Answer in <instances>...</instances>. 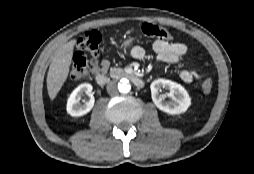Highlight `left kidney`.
Listing matches in <instances>:
<instances>
[{
  "mask_svg": "<svg viewBox=\"0 0 254 174\" xmlns=\"http://www.w3.org/2000/svg\"><path fill=\"white\" fill-rule=\"evenodd\" d=\"M151 96L158 109L171 115L187 111L191 105V98L186 89L180 84L166 79H157L151 83ZM161 88L167 89V96L171 101H165V96L159 94Z\"/></svg>",
  "mask_w": 254,
  "mask_h": 174,
  "instance_id": "obj_1",
  "label": "left kidney"
}]
</instances>
